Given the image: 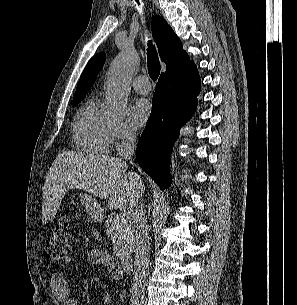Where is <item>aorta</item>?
<instances>
[{
	"label": "aorta",
	"mask_w": 297,
	"mask_h": 305,
	"mask_svg": "<svg viewBox=\"0 0 297 305\" xmlns=\"http://www.w3.org/2000/svg\"><path fill=\"white\" fill-rule=\"evenodd\" d=\"M139 63V56L126 48L112 62L106 81V104L110 111L123 114L127 109L130 79Z\"/></svg>",
	"instance_id": "aorta-1"
}]
</instances>
